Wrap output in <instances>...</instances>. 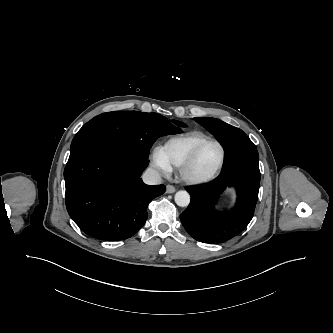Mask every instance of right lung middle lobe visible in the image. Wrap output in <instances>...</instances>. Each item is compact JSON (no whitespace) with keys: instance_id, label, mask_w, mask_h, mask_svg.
<instances>
[{"instance_id":"dd1d6c3e","label":"right lung middle lobe","mask_w":333,"mask_h":333,"mask_svg":"<svg viewBox=\"0 0 333 333\" xmlns=\"http://www.w3.org/2000/svg\"><path fill=\"white\" fill-rule=\"evenodd\" d=\"M171 124L157 113L113 111L100 114L87 122L75 135L72 144L87 138L113 142L128 152L148 159L149 150L157 138L180 133L187 125L176 120Z\"/></svg>"}]
</instances>
